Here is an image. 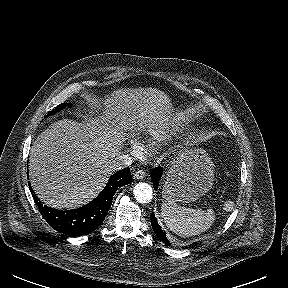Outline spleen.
<instances>
[{
  "instance_id": "3e777b00",
  "label": "spleen",
  "mask_w": 288,
  "mask_h": 288,
  "mask_svg": "<svg viewBox=\"0 0 288 288\" xmlns=\"http://www.w3.org/2000/svg\"><path fill=\"white\" fill-rule=\"evenodd\" d=\"M161 216L166 226L181 237H191L205 232L215 218L212 209L186 208L171 201L163 202Z\"/></svg>"
}]
</instances>
